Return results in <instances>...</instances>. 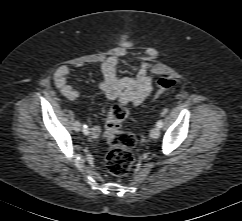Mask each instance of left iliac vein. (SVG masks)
Segmentation results:
<instances>
[{"label":"left iliac vein","instance_id":"obj_1","mask_svg":"<svg viewBox=\"0 0 242 221\" xmlns=\"http://www.w3.org/2000/svg\"><path fill=\"white\" fill-rule=\"evenodd\" d=\"M160 136V129L158 127H154L150 131V137L156 139Z\"/></svg>","mask_w":242,"mask_h":221}]
</instances>
